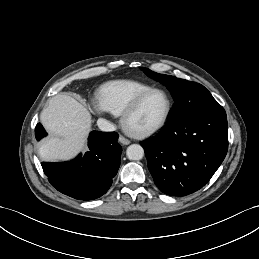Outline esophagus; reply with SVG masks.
Listing matches in <instances>:
<instances>
[{
  "label": "esophagus",
  "instance_id": "esophagus-1",
  "mask_svg": "<svg viewBox=\"0 0 259 259\" xmlns=\"http://www.w3.org/2000/svg\"><path fill=\"white\" fill-rule=\"evenodd\" d=\"M119 142L123 145H129L130 144V140L125 138L124 136H120L119 137Z\"/></svg>",
  "mask_w": 259,
  "mask_h": 259
}]
</instances>
